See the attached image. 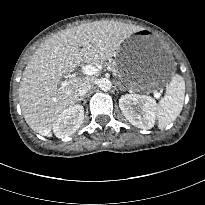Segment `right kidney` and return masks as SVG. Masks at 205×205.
I'll return each instance as SVG.
<instances>
[{"mask_svg":"<svg viewBox=\"0 0 205 205\" xmlns=\"http://www.w3.org/2000/svg\"><path fill=\"white\" fill-rule=\"evenodd\" d=\"M84 120L83 106L77 104L65 109L58 115L54 124L53 132L58 138H66L76 132Z\"/></svg>","mask_w":205,"mask_h":205,"instance_id":"ca27d5eb","label":"right kidney"}]
</instances>
